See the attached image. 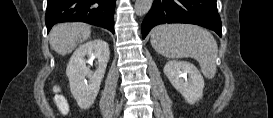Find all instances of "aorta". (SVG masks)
<instances>
[{"mask_svg": "<svg viewBox=\"0 0 273 118\" xmlns=\"http://www.w3.org/2000/svg\"><path fill=\"white\" fill-rule=\"evenodd\" d=\"M152 0H136L134 10L138 16H143L148 13L152 6Z\"/></svg>", "mask_w": 273, "mask_h": 118, "instance_id": "aorta-1", "label": "aorta"}]
</instances>
